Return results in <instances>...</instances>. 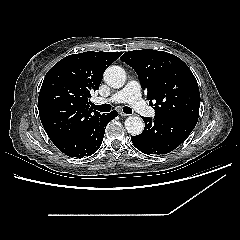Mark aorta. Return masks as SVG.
I'll use <instances>...</instances> for the list:
<instances>
[{
  "label": "aorta",
  "mask_w": 240,
  "mask_h": 240,
  "mask_svg": "<svg viewBox=\"0 0 240 240\" xmlns=\"http://www.w3.org/2000/svg\"><path fill=\"white\" fill-rule=\"evenodd\" d=\"M126 73L120 66H110L104 72V81L113 88H121L125 84ZM125 129L136 136L143 132L144 122L138 116H130L125 120Z\"/></svg>",
  "instance_id": "obj_1"
}]
</instances>
